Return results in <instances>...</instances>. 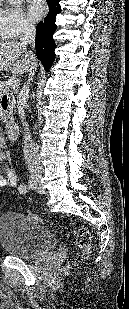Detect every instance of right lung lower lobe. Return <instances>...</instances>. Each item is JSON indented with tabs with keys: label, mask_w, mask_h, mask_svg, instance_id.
Wrapping results in <instances>:
<instances>
[{
	"label": "right lung lower lobe",
	"mask_w": 129,
	"mask_h": 309,
	"mask_svg": "<svg viewBox=\"0 0 129 309\" xmlns=\"http://www.w3.org/2000/svg\"><path fill=\"white\" fill-rule=\"evenodd\" d=\"M59 1L47 0L49 13L44 18V22H40L36 27V54L46 71L50 69L55 57L53 34L57 28L55 24L56 15L61 12Z\"/></svg>",
	"instance_id": "obj_1"
}]
</instances>
